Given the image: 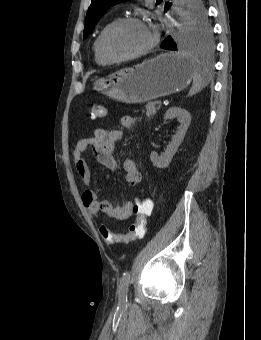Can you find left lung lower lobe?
<instances>
[{"mask_svg": "<svg viewBox=\"0 0 261 340\" xmlns=\"http://www.w3.org/2000/svg\"><path fill=\"white\" fill-rule=\"evenodd\" d=\"M202 2V0H201ZM161 48L167 49V50H177L176 43L173 41V39L170 37H167L161 44Z\"/></svg>", "mask_w": 261, "mask_h": 340, "instance_id": "left-lung-lower-lobe-1", "label": "left lung lower lobe"}]
</instances>
